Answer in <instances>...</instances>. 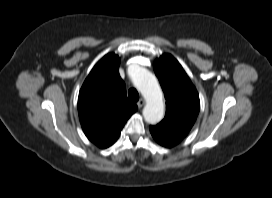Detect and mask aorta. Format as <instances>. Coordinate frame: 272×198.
Wrapping results in <instances>:
<instances>
[{
    "label": "aorta",
    "instance_id": "762f6f07",
    "mask_svg": "<svg viewBox=\"0 0 272 198\" xmlns=\"http://www.w3.org/2000/svg\"><path fill=\"white\" fill-rule=\"evenodd\" d=\"M134 85L139 89L146 105L143 117L149 124L160 122L164 116L163 92L156 77L145 68H137L131 75Z\"/></svg>",
    "mask_w": 272,
    "mask_h": 198
}]
</instances>
